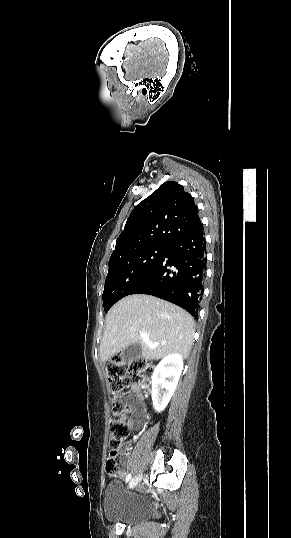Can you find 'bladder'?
Instances as JSON below:
<instances>
[{"label": "bladder", "instance_id": "31cf9c89", "mask_svg": "<svg viewBox=\"0 0 291 538\" xmlns=\"http://www.w3.org/2000/svg\"><path fill=\"white\" fill-rule=\"evenodd\" d=\"M105 519L113 524H135L151 515V501L123 486L121 479L112 480L104 493Z\"/></svg>", "mask_w": 291, "mask_h": 538}]
</instances>
